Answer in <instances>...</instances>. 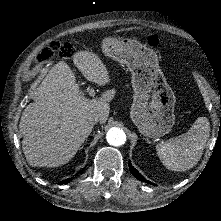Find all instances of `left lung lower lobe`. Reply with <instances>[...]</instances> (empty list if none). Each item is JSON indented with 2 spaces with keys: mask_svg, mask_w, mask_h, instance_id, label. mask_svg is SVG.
I'll return each mask as SVG.
<instances>
[{
  "mask_svg": "<svg viewBox=\"0 0 221 221\" xmlns=\"http://www.w3.org/2000/svg\"><path fill=\"white\" fill-rule=\"evenodd\" d=\"M129 169H130V172L132 173V175H133L134 177H136L137 179H139V180H141V181H143V182H146V183L151 184L150 181L146 180L143 176H141V175L139 174V172L132 166V164H131L130 161H129Z\"/></svg>",
  "mask_w": 221,
  "mask_h": 221,
  "instance_id": "0a47b994",
  "label": "left lung lower lobe"
}]
</instances>
